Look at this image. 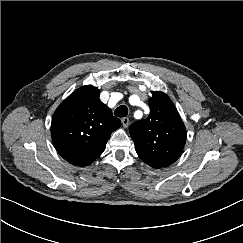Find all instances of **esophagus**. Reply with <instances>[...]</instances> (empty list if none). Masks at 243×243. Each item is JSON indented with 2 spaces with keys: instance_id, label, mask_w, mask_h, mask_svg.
<instances>
[{
  "instance_id": "esophagus-1",
  "label": "esophagus",
  "mask_w": 243,
  "mask_h": 243,
  "mask_svg": "<svg viewBox=\"0 0 243 243\" xmlns=\"http://www.w3.org/2000/svg\"><path fill=\"white\" fill-rule=\"evenodd\" d=\"M121 122H122L123 127L127 128L129 125V118H127V117L122 118Z\"/></svg>"
}]
</instances>
